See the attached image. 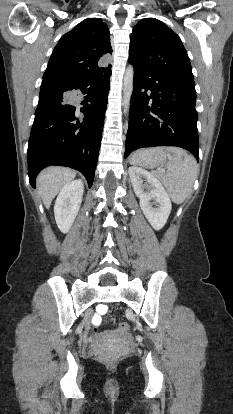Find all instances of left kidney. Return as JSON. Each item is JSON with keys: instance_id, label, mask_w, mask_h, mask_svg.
I'll return each mask as SVG.
<instances>
[{"instance_id": "1", "label": "left kidney", "mask_w": 233, "mask_h": 414, "mask_svg": "<svg viewBox=\"0 0 233 414\" xmlns=\"http://www.w3.org/2000/svg\"><path fill=\"white\" fill-rule=\"evenodd\" d=\"M128 172L134 192L140 199L141 210L151 226L160 230L167 222L172 208L168 193L150 172L136 166L129 167ZM142 178L146 179V184H143ZM151 200L154 202L151 203Z\"/></svg>"}]
</instances>
